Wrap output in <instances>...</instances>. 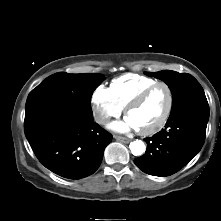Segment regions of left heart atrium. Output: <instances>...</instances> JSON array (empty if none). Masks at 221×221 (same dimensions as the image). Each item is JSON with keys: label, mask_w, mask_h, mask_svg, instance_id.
Masks as SVG:
<instances>
[{"label": "left heart atrium", "mask_w": 221, "mask_h": 221, "mask_svg": "<svg viewBox=\"0 0 221 221\" xmlns=\"http://www.w3.org/2000/svg\"><path fill=\"white\" fill-rule=\"evenodd\" d=\"M110 127L118 132H127L132 129H136L135 125L129 119L122 122H115L111 124Z\"/></svg>", "instance_id": "1"}]
</instances>
